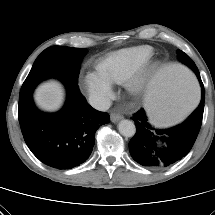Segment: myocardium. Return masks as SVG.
I'll list each match as a JSON object with an SVG mask.
<instances>
[{
	"label": "myocardium",
	"mask_w": 215,
	"mask_h": 215,
	"mask_svg": "<svg viewBox=\"0 0 215 215\" xmlns=\"http://www.w3.org/2000/svg\"><path fill=\"white\" fill-rule=\"evenodd\" d=\"M155 70V64H145L135 70L124 82L126 91L132 96L143 94Z\"/></svg>",
	"instance_id": "obj_1"
}]
</instances>
